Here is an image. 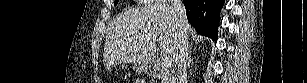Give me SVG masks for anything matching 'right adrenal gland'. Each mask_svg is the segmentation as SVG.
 Here are the masks:
<instances>
[{"label": "right adrenal gland", "mask_w": 307, "mask_h": 83, "mask_svg": "<svg viewBox=\"0 0 307 83\" xmlns=\"http://www.w3.org/2000/svg\"><path fill=\"white\" fill-rule=\"evenodd\" d=\"M192 63V59H191V52H189V57H188V66H190V64Z\"/></svg>", "instance_id": "1"}]
</instances>
